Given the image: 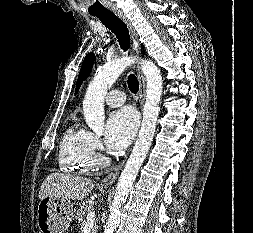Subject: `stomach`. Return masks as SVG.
Here are the masks:
<instances>
[{
    "label": "stomach",
    "mask_w": 253,
    "mask_h": 233,
    "mask_svg": "<svg viewBox=\"0 0 253 233\" xmlns=\"http://www.w3.org/2000/svg\"><path fill=\"white\" fill-rule=\"evenodd\" d=\"M73 216L70 200L46 196L38 205L37 224L40 233H64Z\"/></svg>",
    "instance_id": "0dacf381"
}]
</instances>
